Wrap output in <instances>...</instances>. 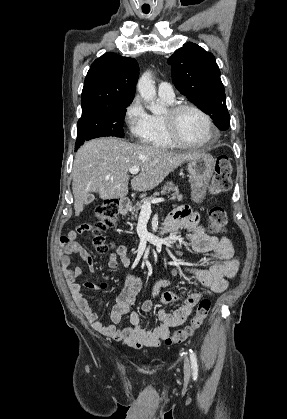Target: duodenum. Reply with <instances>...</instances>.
I'll list each match as a JSON object with an SVG mask.
<instances>
[{
	"label": "duodenum",
	"mask_w": 287,
	"mask_h": 419,
	"mask_svg": "<svg viewBox=\"0 0 287 419\" xmlns=\"http://www.w3.org/2000/svg\"><path fill=\"white\" fill-rule=\"evenodd\" d=\"M129 207V201L127 199H121L120 200V209L122 213H125L127 211ZM168 231L167 228H165L164 230L159 231L158 233H155L151 236V242L152 243H157L160 241V239L163 237L164 234H166Z\"/></svg>",
	"instance_id": "410a0bca"
}]
</instances>
